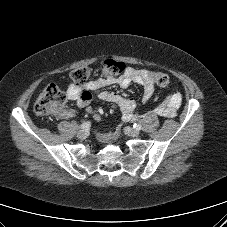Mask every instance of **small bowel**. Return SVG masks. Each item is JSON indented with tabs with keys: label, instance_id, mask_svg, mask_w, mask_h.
I'll use <instances>...</instances> for the list:
<instances>
[{
	"label": "small bowel",
	"instance_id": "small-bowel-1",
	"mask_svg": "<svg viewBox=\"0 0 227 227\" xmlns=\"http://www.w3.org/2000/svg\"><path fill=\"white\" fill-rule=\"evenodd\" d=\"M131 84H137L143 88V102L148 103L152 100L155 92V85L151 73L147 70L134 68H127L125 72L118 77L96 78L85 83L83 87L70 84L67 88V95L69 99L76 102L78 107L85 108L92 100L91 93L97 91L100 100L116 105L121 110L124 120L130 121L134 118V113L137 107L136 101L124 98L117 93L103 90V88L111 85H118L121 88H127ZM181 102V94L177 92L173 93L157 105L154 108V112L160 116L172 118L176 115ZM62 116L64 118H70L74 116V112L72 110H67L63 112ZM98 136L103 141H112L117 137V133L99 134Z\"/></svg>",
	"mask_w": 227,
	"mask_h": 227
}]
</instances>
